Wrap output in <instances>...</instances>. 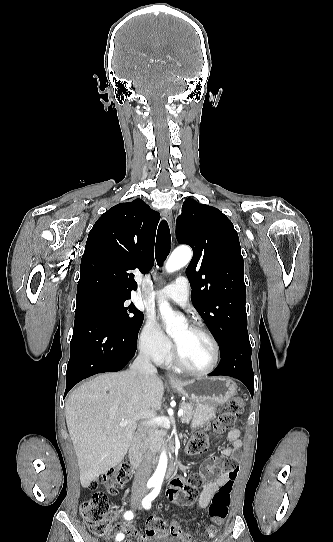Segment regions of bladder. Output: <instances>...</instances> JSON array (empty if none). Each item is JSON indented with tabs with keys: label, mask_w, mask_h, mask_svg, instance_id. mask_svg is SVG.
I'll use <instances>...</instances> for the list:
<instances>
[{
	"label": "bladder",
	"mask_w": 333,
	"mask_h": 542,
	"mask_svg": "<svg viewBox=\"0 0 333 542\" xmlns=\"http://www.w3.org/2000/svg\"><path fill=\"white\" fill-rule=\"evenodd\" d=\"M149 542H179L176 538L169 534L158 535Z\"/></svg>",
	"instance_id": "bladder-1"
}]
</instances>
